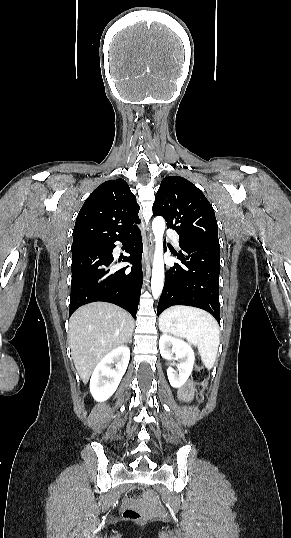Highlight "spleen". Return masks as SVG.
Masks as SVG:
<instances>
[{"label":"spleen","instance_id":"1","mask_svg":"<svg viewBox=\"0 0 291 538\" xmlns=\"http://www.w3.org/2000/svg\"><path fill=\"white\" fill-rule=\"evenodd\" d=\"M159 328L175 336L184 337L198 347L201 360L211 369L215 363L220 342L216 320L208 312L189 306H172L159 317Z\"/></svg>","mask_w":291,"mask_h":538}]
</instances>
